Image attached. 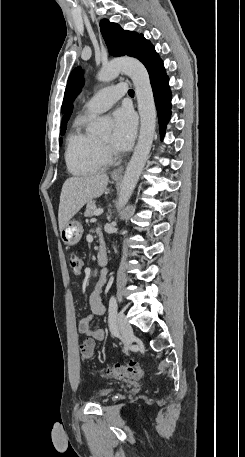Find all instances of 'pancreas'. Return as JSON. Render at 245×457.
I'll use <instances>...</instances> for the list:
<instances>
[{"label":"pancreas","instance_id":"pancreas-1","mask_svg":"<svg viewBox=\"0 0 245 457\" xmlns=\"http://www.w3.org/2000/svg\"><path fill=\"white\" fill-rule=\"evenodd\" d=\"M95 210H97L95 200H89V202H87L84 216H93Z\"/></svg>","mask_w":245,"mask_h":457}]
</instances>
